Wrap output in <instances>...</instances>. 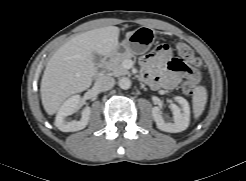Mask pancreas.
<instances>
[{
    "label": "pancreas",
    "mask_w": 246,
    "mask_h": 181,
    "mask_svg": "<svg viewBox=\"0 0 246 181\" xmlns=\"http://www.w3.org/2000/svg\"><path fill=\"white\" fill-rule=\"evenodd\" d=\"M131 53H122L117 56L112 57L108 62L105 64V69L110 72L113 76H122L129 74V71L123 66V62L125 60L132 58Z\"/></svg>",
    "instance_id": "obj_1"
}]
</instances>
